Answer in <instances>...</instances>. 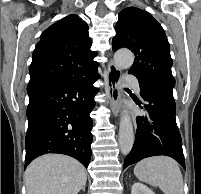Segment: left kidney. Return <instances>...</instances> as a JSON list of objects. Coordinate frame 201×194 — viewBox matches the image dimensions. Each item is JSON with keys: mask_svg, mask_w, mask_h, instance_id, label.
I'll use <instances>...</instances> for the list:
<instances>
[{"mask_svg": "<svg viewBox=\"0 0 201 194\" xmlns=\"http://www.w3.org/2000/svg\"><path fill=\"white\" fill-rule=\"evenodd\" d=\"M131 194H155L150 188L142 183H134Z\"/></svg>", "mask_w": 201, "mask_h": 194, "instance_id": "5707ae66", "label": "left kidney"}]
</instances>
